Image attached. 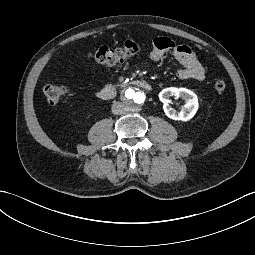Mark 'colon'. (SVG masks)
<instances>
[{
  "label": "colon",
  "instance_id": "1",
  "mask_svg": "<svg viewBox=\"0 0 255 255\" xmlns=\"http://www.w3.org/2000/svg\"><path fill=\"white\" fill-rule=\"evenodd\" d=\"M141 50L139 42L128 39L120 48H110L107 46L99 47L93 50L89 57L100 64L112 65L123 62ZM217 93H222L226 89V83L223 80H217L214 84ZM68 88L64 84H46L43 87V93L51 105L59 103L67 94Z\"/></svg>",
  "mask_w": 255,
  "mask_h": 255
}]
</instances>
